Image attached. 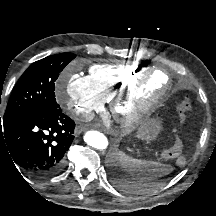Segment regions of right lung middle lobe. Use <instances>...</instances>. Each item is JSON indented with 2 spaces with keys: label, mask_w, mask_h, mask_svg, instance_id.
<instances>
[{
  "label": "right lung middle lobe",
  "mask_w": 216,
  "mask_h": 216,
  "mask_svg": "<svg viewBox=\"0 0 216 216\" xmlns=\"http://www.w3.org/2000/svg\"><path fill=\"white\" fill-rule=\"evenodd\" d=\"M75 57L76 55L66 52L48 56L31 64L12 91L3 121L38 110L58 108L54 93L55 81L59 73Z\"/></svg>",
  "instance_id": "1"
}]
</instances>
